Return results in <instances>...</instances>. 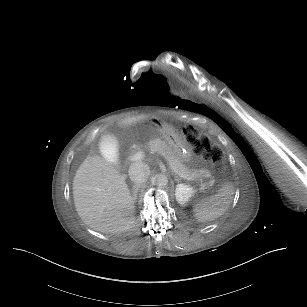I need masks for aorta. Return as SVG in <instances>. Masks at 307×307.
Masks as SVG:
<instances>
[{"instance_id":"obj_1","label":"aorta","mask_w":307,"mask_h":307,"mask_svg":"<svg viewBox=\"0 0 307 307\" xmlns=\"http://www.w3.org/2000/svg\"><path fill=\"white\" fill-rule=\"evenodd\" d=\"M152 184L157 188H164L168 184V178L164 174H156L152 178Z\"/></svg>"}]
</instances>
